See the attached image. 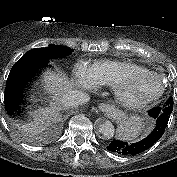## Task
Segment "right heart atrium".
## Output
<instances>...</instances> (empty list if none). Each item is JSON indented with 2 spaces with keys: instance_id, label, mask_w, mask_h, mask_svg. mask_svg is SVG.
<instances>
[{
  "instance_id": "right-heart-atrium-1",
  "label": "right heart atrium",
  "mask_w": 177,
  "mask_h": 177,
  "mask_svg": "<svg viewBox=\"0 0 177 177\" xmlns=\"http://www.w3.org/2000/svg\"><path fill=\"white\" fill-rule=\"evenodd\" d=\"M76 82L87 88L95 87L94 68L84 61H78L74 66Z\"/></svg>"
}]
</instances>
